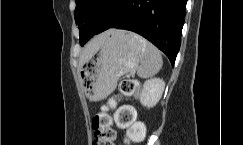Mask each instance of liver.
Returning <instances> with one entry per match:
<instances>
[{
	"label": "liver",
	"instance_id": "liver-1",
	"mask_svg": "<svg viewBox=\"0 0 243 145\" xmlns=\"http://www.w3.org/2000/svg\"><path fill=\"white\" fill-rule=\"evenodd\" d=\"M110 32L111 30L100 34L84 47L80 56V65H83L102 46Z\"/></svg>",
	"mask_w": 243,
	"mask_h": 145
}]
</instances>
